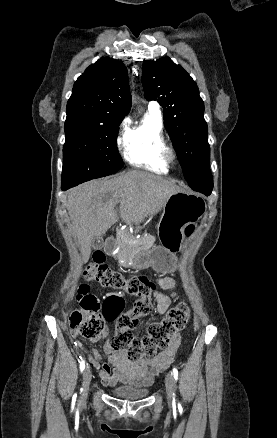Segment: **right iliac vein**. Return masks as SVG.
<instances>
[{
    "mask_svg": "<svg viewBox=\"0 0 277 438\" xmlns=\"http://www.w3.org/2000/svg\"><path fill=\"white\" fill-rule=\"evenodd\" d=\"M91 378H92L91 370L89 367H87L83 372V381L81 388L82 398H85L88 393Z\"/></svg>",
    "mask_w": 277,
    "mask_h": 438,
    "instance_id": "63e3f726",
    "label": "right iliac vein"
}]
</instances>
